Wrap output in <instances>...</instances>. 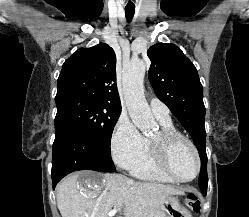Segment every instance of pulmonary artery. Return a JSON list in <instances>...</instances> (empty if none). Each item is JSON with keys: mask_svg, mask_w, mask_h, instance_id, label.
<instances>
[{"mask_svg": "<svg viewBox=\"0 0 249 217\" xmlns=\"http://www.w3.org/2000/svg\"><path fill=\"white\" fill-rule=\"evenodd\" d=\"M153 115L160 121H170V111L168 107L158 98H151L149 101Z\"/></svg>", "mask_w": 249, "mask_h": 217, "instance_id": "e3ab8cb5", "label": "pulmonary artery"}]
</instances>
